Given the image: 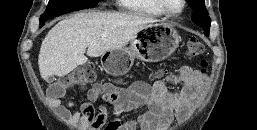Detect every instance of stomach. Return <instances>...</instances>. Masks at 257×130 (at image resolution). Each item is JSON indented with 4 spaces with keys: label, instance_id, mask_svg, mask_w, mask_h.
<instances>
[{
    "label": "stomach",
    "instance_id": "obj_1",
    "mask_svg": "<svg viewBox=\"0 0 257 130\" xmlns=\"http://www.w3.org/2000/svg\"><path fill=\"white\" fill-rule=\"evenodd\" d=\"M143 36L148 37L143 40ZM181 38L169 23L147 26L130 42V47L107 51L101 57L104 70L111 75H123L130 69L135 58L145 62H158L168 58L179 46Z\"/></svg>",
    "mask_w": 257,
    "mask_h": 130
}]
</instances>
